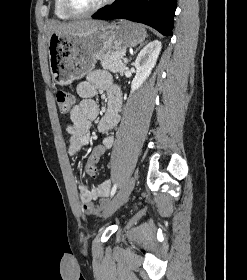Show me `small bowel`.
<instances>
[{
    "mask_svg": "<svg viewBox=\"0 0 247 280\" xmlns=\"http://www.w3.org/2000/svg\"><path fill=\"white\" fill-rule=\"evenodd\" d=\"M98 90L107 92L108 104L105 114L98 121L97 129L103 134L102 143L105 145V149L113 146L114 137L109 132L117 126L120 119L121 91L113 83L108 72L96 70L91 72L86 80L77 86V93L81 100L71 109V123L67 126V133L69 134L68 154L72 159H77L82 149L90 142L91 123L99 115V107L94 100ZM109 192L110 181L108 180L92 188L80 184L79 196L83 211L90 215L99 213L106 204L105 199L109 196ZM95 201H100V203L95 205Z\"/></svg>",
    "mask_w": 247,
    "mask_h": 280,
    "instance_id": "small-bowel-1",
    "label": "small bowel"
}]
</instances>
